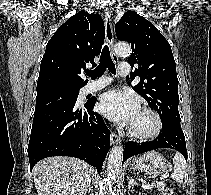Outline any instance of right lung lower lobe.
<instances>
[{"label": "right lung lower lobe", "mask_w": 211, "mask_h": 195, "mask_svg": "<svg viewBox=\"0 0 211 195\" xmlns=\"http://www.w3.org/2000/svg\"><path fill=\"white\" fill-rule=\"evenodd\" d=\"M64 88L36 99L34 121L28 145L30 170L50 156H71L99 171L109 150L110 131L103 118L93 112L96 99L78 106L79 92Z\"/></svg>", "instance_id": "obj_1"}]
</instances>
